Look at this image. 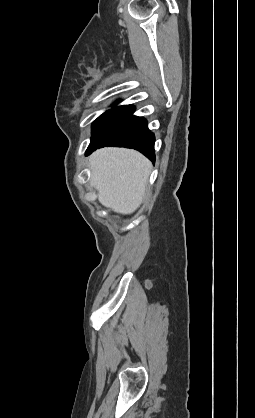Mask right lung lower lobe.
<instances>
[{
	"instance_id": "98d812e1",
	"label": "right lung lower lobe",
	"mask_w": 255,
	"mask_h": 418,
	"mask_svg": "<svg viewBox=\"0 0 255 418\" xmlns=\"http://www.w3.org/2000/svg\"><path fill=\"white\" fill-rule=\"evenodd\" d=\"M134 110L132 105L114 106L100 115L93 123L86 154L105 146L126 147L140 151L154 162L155 136L144 118L133 115Z\"/></svg>"
}]
</instances>
